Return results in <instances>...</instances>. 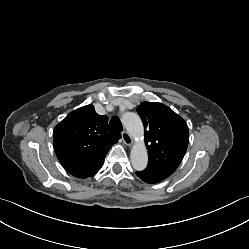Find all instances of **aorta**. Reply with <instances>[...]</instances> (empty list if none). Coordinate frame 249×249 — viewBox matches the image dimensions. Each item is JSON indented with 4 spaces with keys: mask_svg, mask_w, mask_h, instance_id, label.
Masks as SVG:
<instances>
[{
    "mask_svg": "<svg viewBox=\"0 0 249 249\" xmlns=\"http://www.w3.org/2000/svg\"><path fill=\"white\" fill-rule=\"evenodd\" d=\"M122 123L132 136L139 138L132 147L130 159L136 171H143L148 164V154L146 146L141 140L143 137L142 121L137 114L126 112L122 115Z\"/></svg>",
    "mask_w": 249,
    "mask_h": 249,
    "instance_id": "aorta-1",
    "label": "aorta"
}]
</instances>
